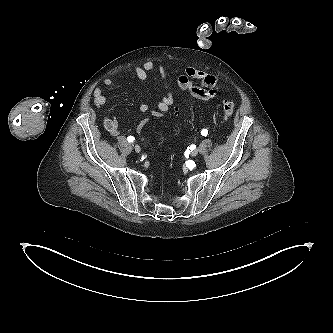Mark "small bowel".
<instances>
[{
  "label": "small bowel",
  "mask_w": 333,
  "mask_h": 333,
  "mask_svg": "<svg viewBox=\"0 0 333 333\" xmlns=\"http://www.w3.org/2000/svg\"><path fill=\"white\" fill-rule=\"evenodd\" d=\"M134 72L137 78L141 81L147 80L150 73L154 74L155 80L161 83L163 89V95L158 102L157 110L149 111L147 104H142L140 106V111L146 113L145 117L136 126V130L140 132L145 128L150 118H159L164 112L169 110L174 102V86L165 67L162 65H155L151 61L134 66ZM115 84L116 82L112 78H106L104 80V85L107 87H113ZM176 88L187 90L194 98L206 101L212 99L217 94L219 80L213 74L190 67L177 75ZM93 100L98 108L105 105L106 96L101 88L97 87L94 90ZM104 127L112 137L120 135L119 124L116 119L110 115L104 116Z\"/></svg>",
  "instance_id": "1"
}]
</instances>
